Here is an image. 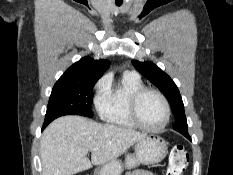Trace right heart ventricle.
I'll list each match as a JSON object with an SVG mask.
<instances>
[{
    "label": "right heart ventricle",
    "mask_w": 233,
    "mask_h": 175,
    "mask_svg": "<svg viewBox=\"0 0 233 175\" xmlns=\"http://www.w3.org/2000/svg\"><path fill=\"white\" fill-rule=\"evenodd\" d=\"M141 79L131 73L122 76L117 84L108 79L96 99L99 117L106 123L126 130L137 129L129 114V100L134 91L143 87Z\"/></svg>",
    "instance_id": "1"
}]
</instances>
